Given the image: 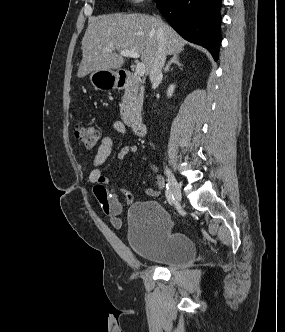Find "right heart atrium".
I'll return each mask as SVG.
<instances>
[{"instance_id":"d8ad5b80","label":"right heart atrium","mask_w":285,"mask_h":332,"mask_svg":"<svg viewBox=\"0 0 285 332\" xmlns=\"http://www.w3.org/2000/svg\"><path fill=\"white\" fill-rule=\"evenodd\" d=\"M145 0H130V2L132 3V4H134V5H138V4H140V3H142V2H144Z\"/></svg>"}]
</instances>
